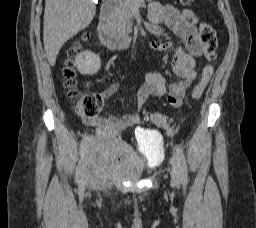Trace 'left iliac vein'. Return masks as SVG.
<instances>
[{
	"label": "left iliac vein",
	"mask_w": 256,
	"mask_h": 228,
	"mask_svg": "<svg viewBox=\"0 0 256 228\" xmlns=\"http://www.w3.org/2000/svg\"><path fill=\"white\" fill-rule=\"evenodd\" d=\"M171 165H172V171H171V182L173 185H178L180 183V167H179V160L177 157L173 156L171 158Z\"/></svg>",
	"instance_id": "left-iliac-vein-1"
}]
</instances>
